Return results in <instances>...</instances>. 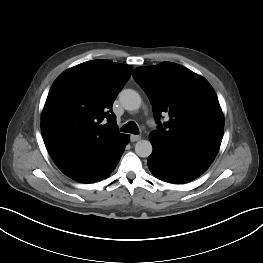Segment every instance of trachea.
Segmentation results:
<instances>
[{"label":"trachea","instance_id":"1","mask_svg":"<svg viewBox=\"0 0 263 263\" xmlns=\"http://www.w3.org/2000/svg\"><path fill=\"white\" fill-rule=\"evenodd\" d=\"M122 132L131 133L137 135L139 133L138 126L134 121H129L122 128Z\"/></svg>","mask_w":263,"mask_h":263}]
</instances>
